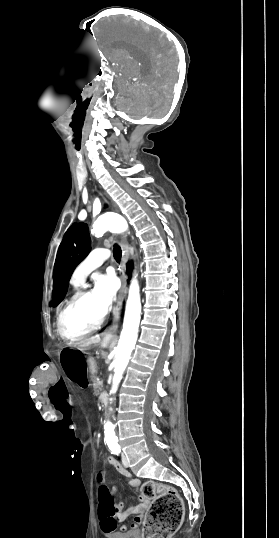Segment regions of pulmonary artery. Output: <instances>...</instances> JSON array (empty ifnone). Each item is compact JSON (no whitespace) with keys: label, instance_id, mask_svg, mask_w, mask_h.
<instances>
[{"label":"pulmonary artery","instance_id":"1","mask_svg":"<svg viewBox=\"0 0 279 538\" xmlns=\"http://www.w3.org/2000/svg\"><path fill=\"white\" fill-rule=\"evenodd\" d=\"M106 258H103L101 260L96 259H89L83 261L75 270L73 274V280L78 283H83L86 279V277L96 268L100 266L102 262H104Z\"/></svg>","mask_w":279,"mask_h":538}]
</instances>
